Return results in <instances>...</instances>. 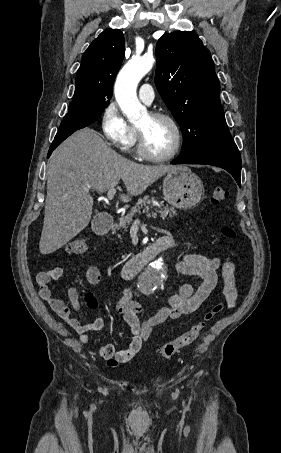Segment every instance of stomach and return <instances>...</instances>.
<instances>
[{
  "instance_id": "0dacf381",
  "label": "stomach",
  "mask_w": 281,
  "mask_h": 453,
  "mask_svg": "<svg viewBox=\"0 0 281 453\" xmlns=\"http://www.w3.org/2000/svg\"><path fill=\"white\" fill-rule=\"evenodd\" d=\"M201 178L190 168L167 172L163 180V194L169 204L176 208H194L200 202L204 192Z\"/></svg>"
}]
</instances>
